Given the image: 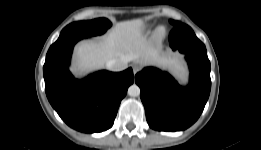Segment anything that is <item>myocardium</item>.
<instances>
[{"instance_id":"myocardium-1","label":"myocardium","mask_w":261,"mask_h":150,"mask_svg":"<svg viewBox=\"0 0 261 150\" xmlns=\"http://www.w3.org/2000/svg\"><path fill=\"white\" fill-rule=\"evenodd\" d=\"M165 34H166V28L164 26H158L155 29L154 37L158 40V39L163 38L165 36Z\"/></svg>"}]
</instances>
